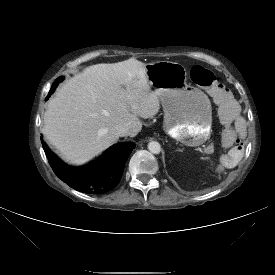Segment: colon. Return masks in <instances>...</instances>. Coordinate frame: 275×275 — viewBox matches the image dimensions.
<instances>
[{
  "label": "colon",
  "mask_w": 275,
  "mask_h": 275,
  "mask_svg": "<svg viewBox=\"0 0 275 275\" xmlns=\"http://www.w3.org/2000/svg\"><path fill=\"white\" fill-rule=\"evenodd\" d=\"M191 79L205 88L217 105H222L227 100L228 91L212 71L196 65L191 69Z\"/></svg>",
  "instance_id": "colon-1"
}]
</instances>
